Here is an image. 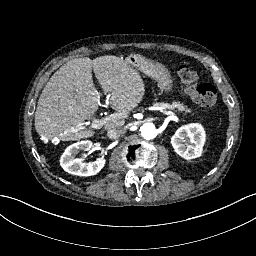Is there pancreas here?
I'll list each match as a JSON object with an SVG mask.
<instances>
[{
    "label": "pancreas",
    "instance_id": "pancreas-1",
    "mask_svg": "<svg viewBox=\"0 0 256 256\" xmlns=\"http://www.w3.org/2000/svg\"><path fill=\"white\" fill-rule=\"evenodd\" d=\"M155 106H160V107H164L167 109H175L177 108L179 111H185L186 113L191 112L190 109L187 108V106H184L183 104H180L178 102H173L172 104H168V103H155Z\"/></svg>",
    "mask_w": 256,
    "mask_h": 256
}]
</instances>
